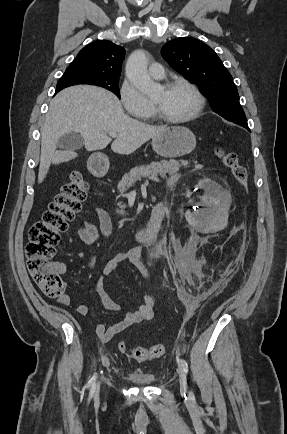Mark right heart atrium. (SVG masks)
<instances>
[{"label":"right heart atrium","mask_w":287,"mask_h":434,"mask_svg":"<svg viewBox=\"0 0 287 434\" xmlns=\"http://www.w3.org/2000/svg\"><path fill=\"white\" fill-rule=\"evenodd\" d=\"M120 99L130 115L144 116L152 111L151 102L129 79H125L120 87Z\"/></svg>","instance_id":"1"}]
</instances>
